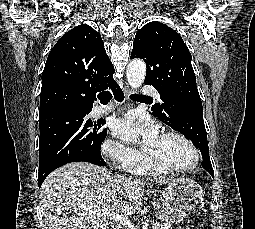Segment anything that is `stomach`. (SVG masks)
I'll use <instances>...</instances> for the list:
<instances>
[{
	"label": "stomach",
	"instance_id": "0dacf381",
	"mask_svg": "<svg viewBox=\"0 0 255 229\" xmlns=\"http://www.w3.org/2000/svg\"><path fill=\"white\" fill-rule=\"evenodd\" d=\"M154 192L164 198L158 218L166 224L183 221L203 198L201 186L185 177L172 179L163 189H154Z\"/></svg>",
	"mask_w": 255,
	"mask_h": 229
}]
</instances>
